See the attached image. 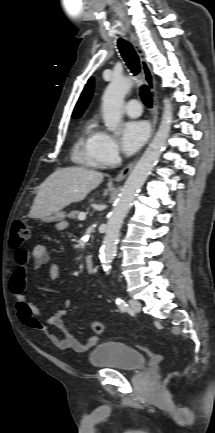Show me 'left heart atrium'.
Segmentation results:
<instances>
[{
  "label": "left heart atrium",
  "mask_w": 215,
  "mask_h": 433,
  "mask_svg": "<svg viewBox=\"0 0 215 433\" xmlns=\"http://www.w3.org/2000/svg\"><path fill=\"white\" fill-rule=\"evenodd\" d=\"M149 128L146 122L132 120L123 124L121 129V144L125 153L132 154L146 141Z\"/></svg>",
  "instance_id": "left-heart-atrium-1"
}]
</instances>
